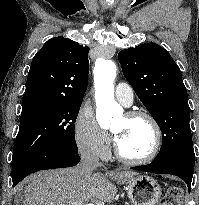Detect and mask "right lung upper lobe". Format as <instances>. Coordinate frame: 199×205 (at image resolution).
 I'll use <instances>...</instances> for the list:
<instances>
[{
	"label": "right lung upper lobe",
	"mask_w": 199,
	"mask_h": 205,
	"mask_svg": "<svg viewBox=\"0 0 199 205\" xmlns=\"http://www.w3.org/2000/svg\"><path fill=\"white\" fill-rule=\"evenodd\" d=\"M89 47L61 36L48 40L34 56L22 111L52 104H82L87 89Z\"/></svg>",
	"instance_id": "cb5924a9"
}]
</instances>
